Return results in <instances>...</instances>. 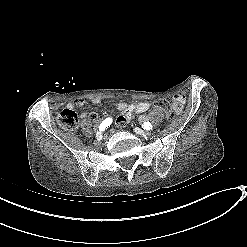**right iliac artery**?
I'll use <instances>...</instances> for the list:
<instances>
[{
	"label": "right iliac artery",
	"instance_id": "82829eb1",
	"mask_svg": "<svg viewBox=\"0 0 247 247\" xmlns=\"http://www.w3.org/2000/svg\"><path fill=\"white\" fill-rule=\"evenodd\" d=\"M112 123V119L111 118H106L99 126V130L100 131H104L105 129H107L110 124Z\"/></svg>",
	"mask_w": 247,
	"mask_h": 247
}]
</instances>
